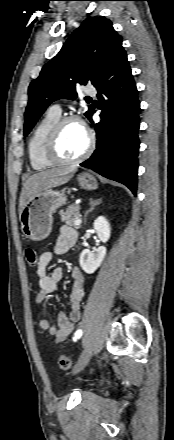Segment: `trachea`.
<instances>
[{"label": "trachea", "mask_w": 174, "mask_h": 440, "mask_svg": "<svg viewBox=\"0 0 174 440\" xmlns=\"http://www.w3.org/2000/svg\"><path fill=\"white\" fill-rule=\"evenodd\" d=\"M86 100H91V98L90 97H86Z\"/></svg>", "instance_id": "obj_1"}]
</instances>
